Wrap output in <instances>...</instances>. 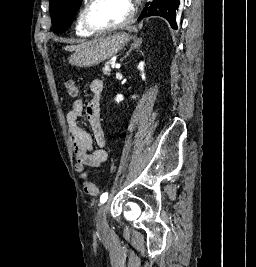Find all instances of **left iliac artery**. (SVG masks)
I'll return each mask as SVG.
<instances>
[{
  "mask_svg": "<svg viewBox=\"0 0 256 267\" xmlns=\"http://www.w3.org/2000/svg\"><path fill=\"white\" fill-rule=\"evenodd\" d=\"M107 199H108V193L105 192V193H103V194L101 195V197H100V203H101V204L105 203V202L107 201Z\"/></svg>",
  "mask_w": 256,
  "mask_h": 267,
  "instance_id": "1",
  "label": "left iliac artery"
}]
</instances>
